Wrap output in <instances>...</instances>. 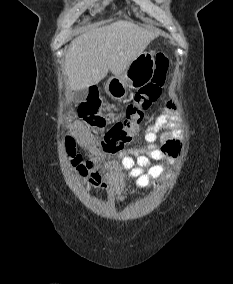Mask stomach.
<instances>
[{"label":"stomach","mask_w":233,"mask_h":284,"mask_svg":"<svg viewBox=\"0 0 233 284\" xmlns=\"http://www.w3.org/2000/svg\"><path fill=\"white\" fill-rule=\"evenodd\" d=\"M154 70L153 53L143 52L131 62L122 74L115 75L107 81L105 91L115 100L123 99L130 89H137L148 83Z\"/></svg>","instance_id":"1"}]
</instances>
